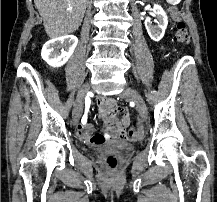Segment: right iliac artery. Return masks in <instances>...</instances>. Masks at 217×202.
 <instances>
[{"mask_svg":"<svg viewBox=\"0 0 217 202\" xmlns=\"http://www.w3.org/2000/svg\"><path fill=\"white\" fill-rule=\"evenodd\" d=\"M91 100H92L91 97H88V96H87V97L85 98V105H86V106H85V107H86L85 109H86V110H85V112H84L85 114L83 115L82 120H81L82 124H85V123L87 122V116H88L87 114H88L89 111H90L89 109H91V107H92V106H91V105H92Z\"/></svg>","mask_w":217,"mask_h":202,"instance_id":"right-iliac-artery-1","label":"right iliac artery"}]
</instances>
